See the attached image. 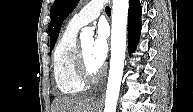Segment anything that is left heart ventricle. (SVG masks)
Segmentation results:
<instances>
[{
    "instance_id": "b2bd125f",
    "label": "left heart ventricle",
    "mask_w": 193,
    "mask_h": 112,
    "mask_svg": "<svg viewBox=\"0 0 193 112\" xmlns=\"http://www.w3.org/2000/svg\"><path fill=\"white\" fill-rule=\"evenodd\" d=\"M81 46L83 49L85 62H86L88 70L91 73H96L101 68V66H99L95 62V60L93 59V56H92L93 40L92 39L85 40V41L81 42Z\"/></svg>"
}]
</instances>
